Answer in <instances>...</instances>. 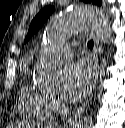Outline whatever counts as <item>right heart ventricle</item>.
<instances>
[{
  "label": "right heart ventricle",
  "mask_w": 125,
  "mask_h": 128,
  "mask_svg": "<svg viewBox=\"0 0 125 128\" xmlns=\"http://www.w3.org/2000/svg\"><path fill=\"white\" fill-rule=\"evenodd\" d=\"M18 107L22 116L37 121L49 120L54 111L48 96L28 81L21 86Z\"/></svg>",
  "instance_id": "obj_1"
}]
</instances>
